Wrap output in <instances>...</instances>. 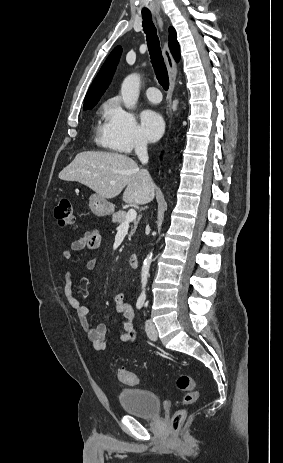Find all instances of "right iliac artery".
<instances>
[{
  "mask_svg": "<svg viewBox=\"0 0 283 463\" xmlns=\"http://www.w3.org/2000/svg\"><path fill=\"white\" fill-rule=\"evenodd\" d=\"M144 305V299H138L136 303L137 309H141Z\"/></svg>",
  "mask_w": 283,
  "mask_h": 463,
  "instance_id": "right-iliac-artery-1",
  "label": "right iliac artery"
}]
</instances>
